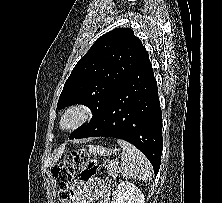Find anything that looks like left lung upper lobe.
<instances>
[{
    "mask_svg": "<svg viewBox=\"0 0 222 203\" xmlns=\"http://www.w3.org/2000/svg\"><path fill=\"white\" fill-rule=\"evenodd\" d=\"M146 54L130 28H116L104 34L73 68L59 97L58 109L74 104L88 106L93 113L91 123ZM89 124L73 131L70 139Z\"/></svg>",
    "mask_w": 222,
    "mask_h": 203,
    "instance_id": "5c2ea615",
    "label": "left lung upper lobe"
}]
</instances>
